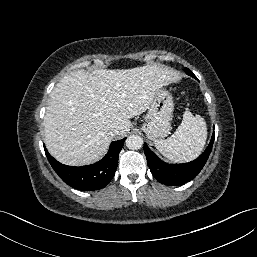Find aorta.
Wrapping results in <instances>:
<instances>
[{"label":"aorta","mask_w":257,"mask_h":257,"mask_svg":"<svg viewBox=\"0 0 257 257\" xmlns=\"http://www.w3.org/2000/svg\"><path fill=\"white\" fill-rule=\"evenodd\" d=\"M126 146L131 150L140 149L143 146V139L138 135H130L126 139Z\"/></svg>","instance_id":"obj_1"}]
</instances>
